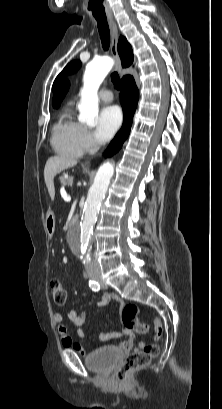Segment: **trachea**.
I'll list each match as a JSON object with an SVG mask.
<instances>
[{
	"instance_id": "1",
	"label": "trachea",
	"mask_w": 222,
	"mask_h": 409,
	"mask_svg": "<svg viewBox=\"0 0 222 409\" xmlns=\"http://www.w3.org/2000/svg\"><path fill=\"white\" fill-rule=\"evenodd\" d=\"M97 20L98 31L102 43V47L105 51H108L110 46V30L107 21H103L100 19ZM112 82L117 90L121 89V80L117 74V72H113L111 75Z\"/></svg>"
}]
</instances>
